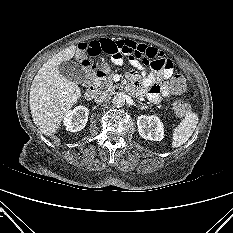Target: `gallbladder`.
Here are the masks:
<instances>
[{
	"mask_svg": "<svg viewBox=\"0 0 233 233\" xmlns=\"http://www.w3.org/2000/svg\"><path fill=\"white\" fill-rule=\"evenodd\" d=\"M58 71L65 78L75 83H81L85 75L83 68L71 60L60 63L58 65Z\"/></svg>",
	"mask_w": 233,
	"mask_h": 233,
	"instance_id": "1",
	"label": "gallbladder"
}]
</instances>
